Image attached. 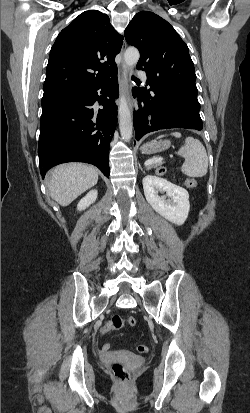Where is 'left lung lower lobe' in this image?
<instances>
[{"instance_id": "left-lung-lower-lobe-1", "label": "left lung lower lobe", "mask_w": 250, "mask_h": 413, "mask_svg": "<svg viewBox=\"0 0 250 413\" xmlns=\"http://www.w3.org/2000/svg\"><path fill=\"white\" fill-rule=\"evenodd\" d=\"M149 89L133 87L139 109L134 113L136 139L161 129L186 128L201 130L200 104L195 83H180L169 80L155 84L146 81Z\"/></svg>"}]
</instances>
